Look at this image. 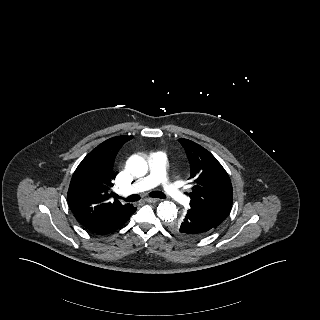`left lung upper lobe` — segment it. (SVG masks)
<instances>
[{"label": "left lung upper lobe", "mask_w": 320, "mask_h": 320, "mask_svg": "<svg viewBox=\"0 0 320 320\" xmlns=\"http://www.w3.org/2000/svg\"><path fill=\"white\" fill-rule=\"evenodd\" d=\"M190 161L192 192L190 210L200 214L216 227L231 211L233 190L230 178L218 160L205 148L188 139H179ZM180 221L171 223V228L178 236L187 237L179 230Z\"/></svg>", "instance_id": "5c2ea615"}]
</instances>
